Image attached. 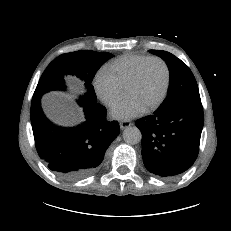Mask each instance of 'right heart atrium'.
Here are the masks:
<instances>
[{"instance_id": "d8ad5b80", "label": "right heart atrium", "mask_w": 231, "mask_h": 231, "mask_svg": "<svg viewBox=\"0 0 231 231\" xmlns=\"http://www.w3.org/2000/svg\"><path fill=\"white\" fill-rule=\"evenodd\" d=\"M93 86L99 99L109 107L114 105L124 94V90L105 68L96 73Z\"/></svg>"}]
</instances>
